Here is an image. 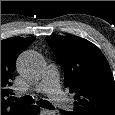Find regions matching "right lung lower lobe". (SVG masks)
Instances as JSON below:
<instances>
[{
    "label": "right lung lower lobe",
    "mask_w": 115,
    "mask_h": 115,
    "mask_svg": "<svg viewBox=\"0 0 115 115\" xmlns=\"http://www.w3.org/2000/svg\"><path fill=\"white\" fill-rule=\"evenodd\" d=\"M40 111V108L36 105H27L25 111L22 115H37Z\"/></svg>",
    "instance_id": "right-lung-lower-lobe-1"
}]
</instances>
